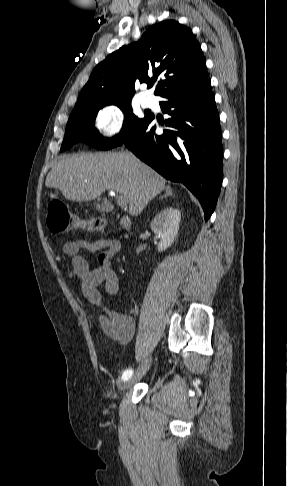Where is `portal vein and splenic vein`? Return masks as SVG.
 Wrapping results in <instances>:
<instances>
[{
	"label": "portal vein and splenic vein",
	"instance_id": "1",
	"mask_svg": "<svg viewBox=\"0 0 287 486\" xmlns=\"http://www.w3.org/2000/svg\"><path fill=\"white\" fill-rule=\"evenodd\" d=\"M110 195L115 196L119 206L124 207L127 205L128 200L122 195H117L114 191H110Z\"/></svg>",
	"mask_w": 287,
	"mask_h": 486
}]
</instances>
